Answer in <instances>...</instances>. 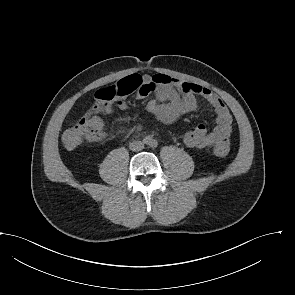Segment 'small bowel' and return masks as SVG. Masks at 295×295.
<instances>
[{
	"instance_id": "1",
	"label": "small bowel",
	"mask_w": 295,
	"mask_h": 295,
	"mask_svg": "<svg viewBox=\"0 0 295 295\" xmlns=\"http://www.w3.org/2000/svg\"><path fill=\"white\" fill-rule=\"evenodd\" d=\"M154 94V98L147 103L148 111L163 123H172L182 116L198 109V98H202L215 113L217 126L208 130L204 124H199L184 134V144L189 148H212L224 142H229L232 132L233 117L221 98L212 90L185 82L165 74H156L143 78V88L137 92L138 98H145ZM126 110L128 105L118 101L106 108L111 112L114 109ZM107 136L105 125L101 118L98 120V138ZM89 141H94L89 139Z\"/></svg>"
}]
</instances>
